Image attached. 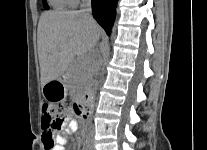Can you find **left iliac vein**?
Wrapping results in <instances>:
<instances>
[{
  "instance_id": "obj_1",
  "label": "left iliac vein",
  "mask_w": 207,
  "mask_h": 150,
  "mask_svg": "<svg viewBox=\"0 0 207 150\" xmlns=\"http://www.w3.org/2000/svg\"><path fill=\"white\" fill-rule=\"evenodd\" d=\"M91 149L94 150L92 141H91V143H90V150H91Z\"/></svg>"
}]
</instances>
